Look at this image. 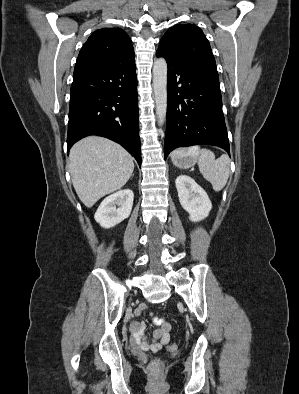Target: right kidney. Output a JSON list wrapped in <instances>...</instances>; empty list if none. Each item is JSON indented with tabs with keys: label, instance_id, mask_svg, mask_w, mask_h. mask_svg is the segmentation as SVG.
Returning <instances> with one entry per match:
<instances>
[{
	"label": "right kidney",
	"instance_id": "right-kidney-1",
	"mask_svg": "<svg viewBox=\"0 0 299 394\" xmlns=\"http://www.w3.org/2000/svg\"><path fill=\"white\" fill-rule=\"evenodd\" d=\"M133 199L134 194L130 189L120 190L106 197L94 215L96 222L103 228H111L119 224L130 216Z\"/></svg>",
	"mask_w": 299,
	"mask_h": 394
}]
</instances>
